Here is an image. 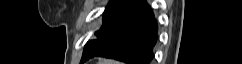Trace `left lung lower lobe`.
Returning a JSON list of instances; mask_svg holds the SVG:
<instances>
[{"instance_id":"obj_1","label":"left lung lower lobe","mask_w":242,"mask_h":64,"mask_svg":"<svg viewBox=\"0 0 242 64\" xmlns=\"http://www.w3.org/2000/svg\"><path fill=\"white\" fill-rule=\"evenodd\" d=\"M97 39L88 42L81 62L98 56L127 64H150L157 24L145 0H119L103 16Z\"/></svg>"}]
</instances>
